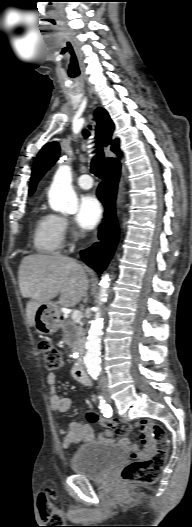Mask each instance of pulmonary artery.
Wrapping results in <instances>:
<instances>
[{
  "mask_svg": "<svg viewBox=\"0 0 192 527\" xmlns=\"http://www.w3.org/2000/svg\"><path fill=\"white\" fill-rule=\"evenodd\" d=\"M78 185L82 189H90L93 186V179L88 174H83L78 178Z\"/></svg>",
  "mask_w": 192,
  "mask_h": 527,
  "instance_id": "e3ab8cb5",
  "label": "pulmonary artery"
}]
</instances>
